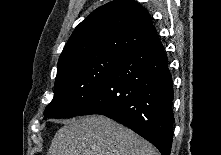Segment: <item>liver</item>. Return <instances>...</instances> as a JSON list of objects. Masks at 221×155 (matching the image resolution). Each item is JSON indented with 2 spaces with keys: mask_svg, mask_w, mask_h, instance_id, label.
I'll list each match as a JSON object with an SVG mask.
<instances>
[{
  "mask_svg": "<svg viewBox=\"0 0 221 155\" xmlns=\"http://www.w3.org/2000/svg\"><path fill=\"white\" fill-rule=\"evenodd\" d=\"M47 155H157L155 148L121 124L101 115L71 120L52 139Z\"/></svg>",
  "mask_w": 221,
  "mask_h": 155,
  "instance_id": "obj_1",
  "label": "liver"
}]
</instances>
